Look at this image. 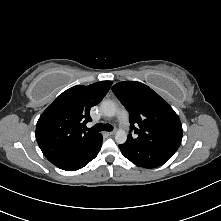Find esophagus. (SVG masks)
Listing matches in <instances>:
<instances>
[{"mask_svg": "<svg viewBox=\"0 0 221 221\" xmlns=\"http://www.w3.org/2000/svg\"><path fill=\"white\" fill-rule=\"evenodd\" d=\"M106 134H107L108 136H112V135H114V134H115V132H114V131H111V132H106Z\"/></svg>", "mask_w": 221, "mask_h": 221, "instance_id": "obj_1", "label": "esophagus"}]
</instances>
